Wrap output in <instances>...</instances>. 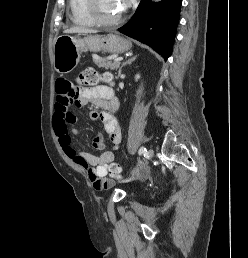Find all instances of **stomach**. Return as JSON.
<instances>
[{
    "label": "stomach",
    "mask_w": 248,
    "mask_h": 258,
    "mask_svg": "<svg viewBox=\"0 0 248 258\" xmlns=\"http://www.w3.org/2000/svg\"><path fill=\"white\" fill-rule=\"evenodd\" d=\"M131 46L130 41L117 34L85 38L61 35L54 42V68L58 73L66 74L78 65L82 52L123 53L128 51Z\"/></svg>",
    "instance_id": "0dacf381"
}]
</instances>
